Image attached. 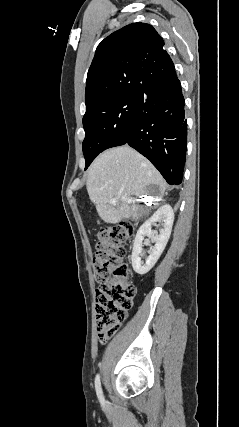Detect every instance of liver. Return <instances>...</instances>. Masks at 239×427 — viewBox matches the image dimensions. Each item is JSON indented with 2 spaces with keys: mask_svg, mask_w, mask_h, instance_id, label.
I'll return each instance as SVG.
<instances>
[{
  "mask_svg": "<svg viewBox=\"0 0 239 427\" xmlns=\"http://www.w3.org/2000/svg\"><path fill=\"white\" fill-rule=\"evenodd\" d=\"M155 185L163 196L166 183L158 170L141 154L125 145L100 154L88 170L87 191L100 218L106 223L135 216L137 207L129 203L132 196L148 194ZM117 199L111 204L110 199ZM134 202V201H133Z\"/></svg>",
  "mask_w": 239,
  "mask_h": 427,
  "instance_id": "1",
  "label": "liver"
}]
</instances>
